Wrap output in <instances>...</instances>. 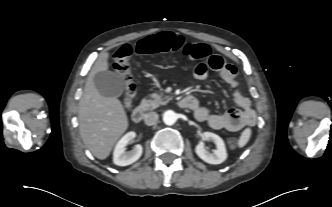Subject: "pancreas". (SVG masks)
Segmentation results:
<instances>
[{
	"mask_svg": "<svg viewBox=\"0 0 332 207\" xmlns=\"http://www.w3.org/2000/svg\"><path fill=\"white\" fill-rule=\"evenodd\" d=\"M169 100L170 98L164 96L163 93H153L150 95V98L141 101L140 107L145 110H154L160 105L167 104Z\"/></svg>",
	"mask_w": 332,
	"mask_h": 207,
	"instance_id": "pancreas-1",
	"label": "pancreas"
}]
</instances>
